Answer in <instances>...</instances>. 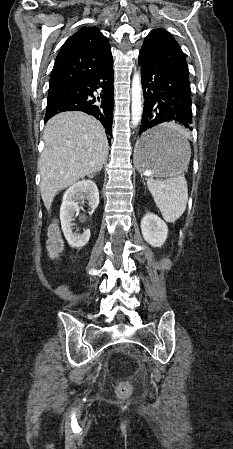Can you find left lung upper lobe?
<instances>
[{
  "label": "left lung upper lobe",
  "mask_w": 233,
  "mask_h": 449,
  "mask_svg": "<svg viewBox=\"0 0 233 449\" xmlns=\"http://www.w3.org/2000/svg\"><path fill=\"white\" fill-rule=\"evenodd\" d=\"M141 49L185 75H189L188 65L179 44L171 33L163 29L151 31L145 38Z\"/></svg>",
  "instance_id": "1"
}]
</instances>
